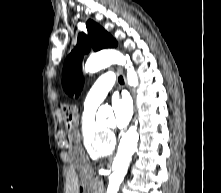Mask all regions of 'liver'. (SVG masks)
Wrapping results in <instances>:
<instances>
[{
	"mask_svg": "<svg viewBox=\"0 0 221 193\" xmlns=\"http://www.w3.org/2000/svg\"><path fill=\"white\" fill-rule=\"evenodd\" d=\"M70 193H77L79 188V180L76 174H73L70 181Z\"/></svg>",
	"mask_w": 221,
	"mask_h": 193,
	"instance_id": "6515ba94",
	"label": "liver"
}]
</instances>
